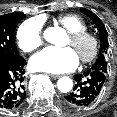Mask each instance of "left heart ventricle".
Listing matches in <instances>:
<instances>
[{
	"instance_id": "left-heart-ventricle-1",
	"label": "left heart ventricle",
	"mask_w": 117,
	"mask_h": 117,
	"mask_svg": "<svg viewBox=\"0 0 117 117\" xmlns=\"http://www.w3.org/2000/svg\"><path fill=\"white\" fill-rule=\"evenodd\" d=\"M66 45H70L72 46V48L75 50V52L77 53L78 57L87 53L89 50V44L88 43H83L81 45H72L70 38H68Z\"/></svg>"
}]
</instances>
